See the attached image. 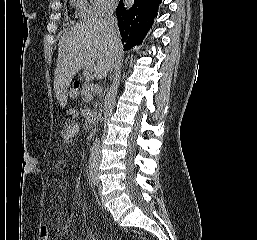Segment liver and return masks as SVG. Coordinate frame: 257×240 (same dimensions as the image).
<instances>
[{
    "label": "liver",
    "instance_id": "obj_1",
    "mask_svg": "<svg viewBox=\"0 0 257 240\" xmlns=\"http://www.w3.org/2000/svg\"><path fill=\"white\" fill-rule=\"evenodd\" d=\"M104 25L103 19L84 20L68 29L61 37L54 90L62 107L67 103L68 88L79 70L84 69L85 74L93 71V76L98 79L112 71L121 52V41L115 45Z\"/></svg>",
    "mask_w": 257,
    "mask_h": 240
}]
</instances>
